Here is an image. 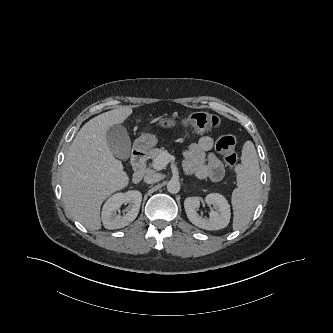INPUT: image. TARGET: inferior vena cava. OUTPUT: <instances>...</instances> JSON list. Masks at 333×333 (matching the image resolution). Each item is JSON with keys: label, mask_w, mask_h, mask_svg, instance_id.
<instances>
[{"label": "inferior vena cava", "mask_w": 333, "mask_h": 333, "mask_svg": "<svg viewBox=\"0 0 333 333\" xmlns=\"http://www.w3.org/2000/svg\"><path fill=\"white\" fill-rule=\"evenodd\" d=\"M163 179V175L159 173L150 172L144 177V182L147 184H153Z\"/></svg>", "instance_id": "inferior-vena-cava-1"}]
</instances>
